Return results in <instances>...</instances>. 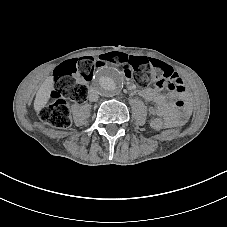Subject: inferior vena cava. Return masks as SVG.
I'll use <instances>...</instances> for the list:
<instances>
[{"mask_svg": "<svg viewBox=\"0 0 227 227\" xmlns=\"http://www.w3.org/2000/svg\"><path fill=\"white\" fill-rule=\"evenodd\" d=\"M98 98H99L98 92L93 88L89 89V91H88L89 101L96 102L98 100Z\"/></svg>", "mask_w": 227, "mask_h": 227, "instance_id": "obj_1", "label": "inferior vena cava"}]
</instances>
